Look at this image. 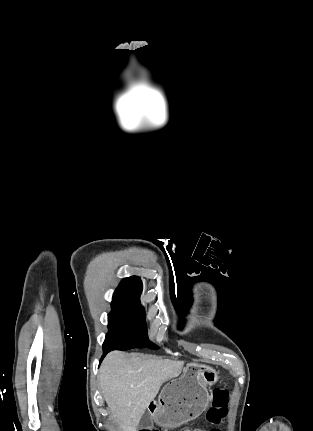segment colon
<instances>
[{
  "mask_svg": "<svg viewBox=\"0 0 313 431\" xmlns=\"http://www.w3.org/2000/svg\"><path fill=\"white\" fill-rule=\"evenodd\" d=\"M229 401V389L228 388H217L212 392V403L210 408L207 411V420L214 424L218 425L222 419L227 415V407ZM142 431H151V430H142ZM185 431H221L219 427H213L209 430H203L200 428L196 429H187Z\"/></svg>",
  "mask_w": 313,
  "mask_h": 431,
  "instance_id": "colon-1",
  "label": "colon"
}]
</instances>
